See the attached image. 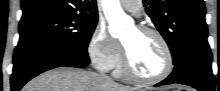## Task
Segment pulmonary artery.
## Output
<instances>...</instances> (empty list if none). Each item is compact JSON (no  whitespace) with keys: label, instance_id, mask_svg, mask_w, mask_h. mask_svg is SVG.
I'll return each instance as SVG.
<instances>
[{"label":"pulmonary artery","instance_id":"obj_1","mask_svg":"<svg viewBox=\"0 0 220 91\" xmlns=\"http://www.w3.org/2000/svg\"><path fill=\"white\" fill-rule=\"evenodd\" d=\"M122 7L132 13H139V11L141 10V4L142 2L140 0H132V1H128V0H122L120 1Z\"/></svg>","mask_w":220,"mask_h":91}]
</instances>
